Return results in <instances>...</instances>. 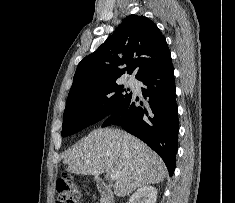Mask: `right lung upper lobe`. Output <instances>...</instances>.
I'll use <instances>...</instances> for the list:
<instances>
[{"instance_id": "right-lung-upper-lobe-1", "label": "right lung upper lobe", "mask_w": 235, "mask_h": 203, "mask_svg": "<svg viewBox=\"0 0 235 203\" xmlns=\"http://www.w3.org/2000/svg\"><path fill=\"white\" fill-rule=\"evenodd\" d=\"M170 61L166 40L154 22L145 16L130 15L95 52L78 64L69 93L117 80L135 70L136 78L140 79Z\"/></svg>"}]
</instances>
